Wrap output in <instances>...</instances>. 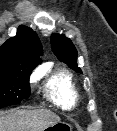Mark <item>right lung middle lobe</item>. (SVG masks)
Returning <instances> with one entry per match:
<instances>
[{"label":"right lung middle lobe","instance_id":"dd1d6c3e","mask_svg":"<svg viewBox=\"0 0 117 131\" xmlns=\"http://www.w3.org/2000/svg\"><path fill=\"white\" fill-rule=\"evenodd\" d=\"M29 70L22 66L0 68V108L21 103L30 95Z\"/></svg>","mask_w":117,"mask_h":131}]
</instances>
